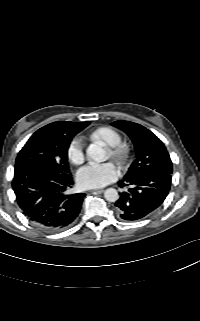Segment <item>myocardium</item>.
Wrapping results in <instances>:
<instances>
[{
    "mask_svg": "<svg viewBox=\"0 0 200 321\" xmlns=\"http://www.w3.org/2000/svg\"><path fill=\"white\" fill-rule=\"evenodd\" d=\"M109 156L119 165H125L131 158V148L127 143L120 142L109 147Z\"/></svg>",
    "mask_w": 200,
    "mask_h": 321,
    "instance_id": "f54148a6",
    "label": "myocardium"
}]
</instances>
